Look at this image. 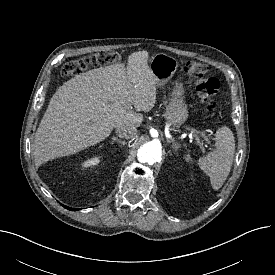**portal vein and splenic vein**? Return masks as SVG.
Returning a JSON list of instances; mask_svg holds the SVG:
<instances>
[{
    "mask_svg": "<svg viewBox=\"0 0 275 275\" xmlns=\"http://www.w3.org/2000/svg\"><path fill=\"white\" fill-rule=\"evenodd\" d=\"M206 141H207V143H208V144H211V142H210V141H208V140H206Z\"/></svg>",
    "mask_w": 275,
    "mask_h": 275,
    "instance_id": "18ae733b",
    "label": "portal vein and splenic vein"
}]
</instances>
